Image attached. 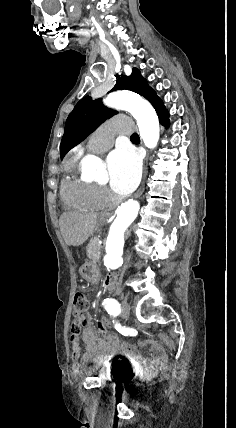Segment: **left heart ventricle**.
<instances>
[{
    "mask_svg": "<svg viewBox=\"0 0 236 428\" xmlns=\"http://www.w3.org/2000/svg\"><path fill=\"white\" fill-rule=\"evenodd\" d=\"M106 178H107V176H105V177H99L96 181H97L99 184H102V183H104V182H105Z\"/></svg>",
    "mask_w": 236,
    "mask_h": 428,
    "instance_id": "obj_1",
    "label": "left heart ventricle"
}]
</instances>
